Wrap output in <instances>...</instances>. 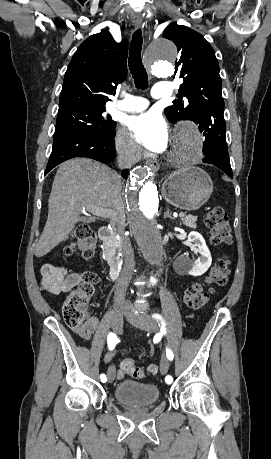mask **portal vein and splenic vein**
<instances>
[{"mask_svg": "<svg viewBox=\"0 0 271 459\" xmlns=\"http://www.w3.org/2000/svg\"><path fill=\"white\" fill-rule=\"evenodd\" d=\"M83 214H86L85 210H82ZM93 214H95V216H101V218H108L109 214H110V210H104V208H95V210H93ZM184 213L183 212H180L179 213V217H184Z\"/></svg>", "mask_w": 271, "mask_h": 459, "instance_id": "1", "label": "portal vein and splenic vein"}]
</instances>
